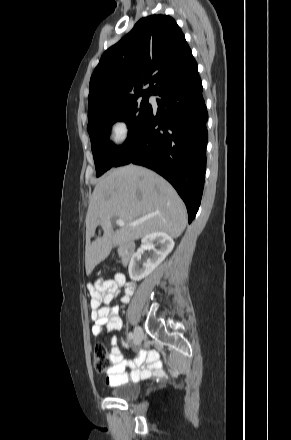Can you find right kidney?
Masks as SVG:
<instances>
[{"instance_id": "ca27d5eb", "label": "right kidney", "mask_w": 291, "mask_h": 440, "mask_svg": "<svg viewBox=\"0 0 291 440\" xmlns=\"http://www.w3.org/2000/svg\"><path fill=\"white\" fill-rule=\"evenodd\" d=\"M144 247L139 248L129 263V276L134 281H140L148 276L166 258L174 247L173 239L164 232H153L142 238ZM158 245L159 248H155ZM153 250L146 262L140 263L143 250Z\"/></svg>"}]
</instances>
